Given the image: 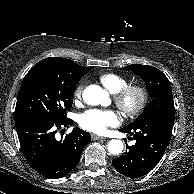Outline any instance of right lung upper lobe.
<instances>
[{
    "instance_id": "right-lung-upper-lobe-1",
    "label": "right lung upper lobe",
    "mask_w": 194,
    "mask_h": 194,
    "mask_svg": "<svg viewBox=\"0 0 194 194\" xmlns=\"http://www.w3.org/2000/svg\"><path fill=\"white\" fill-rule=\"evenodd\" d=\"M61 61L64 62V64L72 71V72H75V73H82V74H86L87 72H89L92 67H84V66H81V65H78L77 63H75L74 61L72 60H69V59H65V58H61Z\"/></svg>"
}]
</instances>
